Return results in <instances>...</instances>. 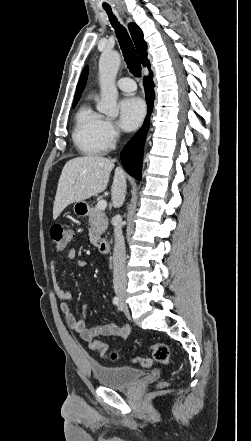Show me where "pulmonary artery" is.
<instances>
[{"label":"pulmonary artery","mask_w":251,"mask_h":441,"mask_svg":"<svg viewBox=\"0 0 251 441\" xmlns=\"http://www.w3.org/2000/svg\"><path fill=\"white\" fill-rule=\"evenodd\" d=\"M117 85L124 92L132 93L136 90L135 82L131 78H128V77H124V78L119 79L117 81Z\"/></svg>","instance_id":"pulmonary-artery-1"}]
</instances>
